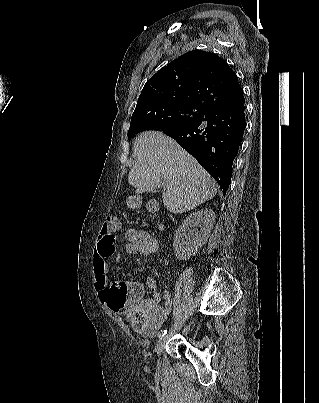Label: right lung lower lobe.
<instances>
[{
	"label": "right lung lower lobe",
	"instance_id": "obj_1",
	"mask_svg": "<svg viewBox=\"0 0 319 403\" xmlns=\"http://www.w3.org/2000/svg\"><path fill=\"white\" fill-rule=\"evenodd\" d=\"M245 127L243 102L209 111L193 124L160 130L194 156L215 178L225 195Z\"/></svg>",
	"mask_w": 319,
	"mask_h": 403
}]
</instances>
